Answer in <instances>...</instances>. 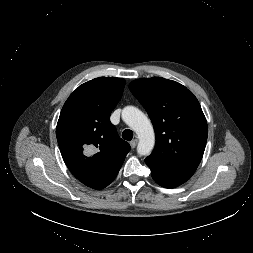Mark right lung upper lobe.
I'll use <instances>...</instances> for the list:
<instances>
[{"instance_id":"cb5924a9","label":"right lung upper lobe","mask_w":253,"mask_h":253,"mask_svg":"<svg viewBox=\"0 0 253 253\" xmlns=\"http://www.w3.org/2000/svg\"><path fill=\"white\" fill-rule=\"evenodd\" d=\"M123 78L99 77L80 85L65 102L56 127L63 160L86 186L100 190L117 176L130 145L110 114L122 97ZM89 149L92 154H85Z\"/></svg>"}]
</instances>
